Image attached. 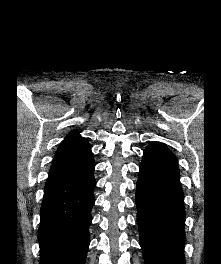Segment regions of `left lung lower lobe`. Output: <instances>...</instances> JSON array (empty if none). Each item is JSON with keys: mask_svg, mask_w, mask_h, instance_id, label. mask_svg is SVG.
<instances>
[{"mask_svg": "<svg viewBox=\"0 0 221 264\" xmlns=\"http://www.w3.org/2000/svg\"><path fill=\"white\" fill-rule=\"evenodd\" d=\"M183 190L176 156L162 143L145 150L136 187L145 264H185Z\"/></svg>", "mask_w": 221, "mask_h": 264, "instance_id": "0a47b994", "label": "left lung lower lobe"}]
</instances>
